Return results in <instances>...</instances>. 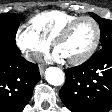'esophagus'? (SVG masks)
Here are the masks:
<instances>
[{
  "mask_svg": "<svg viewBox=\"0 0 112 112\" xmlns=\"http://www.w3.org/2000/svg\"><path fill=\"white\" fill-rule=\"evenodd\" d=\"M44 70H45V67L43 65H40L39 66V71H40L41 76H43Z\"/></svg>",
  "mask_w": 112,
  "mask_h": 112,
  "instance_id": "34e87169",
  "label": "esophagus"
}]
</instances>
